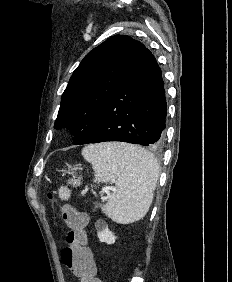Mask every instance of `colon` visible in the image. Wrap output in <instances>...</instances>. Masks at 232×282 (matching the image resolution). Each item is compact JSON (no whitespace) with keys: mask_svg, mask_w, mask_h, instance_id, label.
<instances>
[{"mask_svg":"<svg viewBox=\"0 0 232 282\" xmlns=\"http://www.w3.org/2000/svg\"><path fill=\"white\" fill-rule=\"evenodd\" d=\"M49 198L52 195L49 194ZM62 217L68 227L67 246L62 251V260L81 282H102L96 276L92 253L86 246L87 216L74 206L66 204L60 207Z\"/></svg>","mask_w":232,"mask_h":282,"instance_id":"obj_1","label":"colon"}]
</instances>
